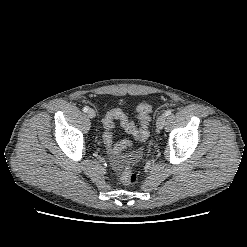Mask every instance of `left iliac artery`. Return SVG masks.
I'll use <instances>...</instances> for the list:
<instances>
[{"mask_svg": "<svg viewBox=\"0 0 247 247\" xmlns=\"http://www.w3.org/2000/svg\"><path fill=\"white\" fill-rule=\"evenodd\" d=\"M171 113H172V111H171V110H168V111H166V112L164 113V115H165V116H169Z\"/></svg>", "mask_w": 247, "mask_h": 247, "instance_id": "obj_1", "label": "left iliac artery"}]
</instances>
